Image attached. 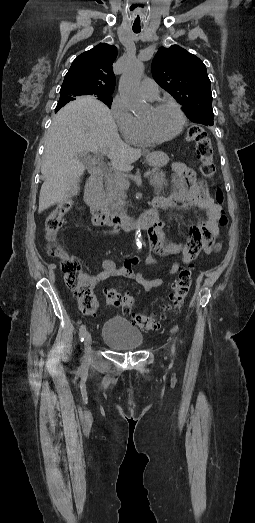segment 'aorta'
Returning a JSON list of instances; mask_svg holds the SVG:
<instances>
[{
	"label": "aorta",
	"mask_w": 255,
	"mask_h": 523,
	"mask_svg": "<svg viewBox=\"0 0 255 523\" xmlns=\"http://www.w3.org/2000/svg\"><path fill=\"white\" fill-rule=\"evenodd\" d=\"M144 72V65L140 61L131 62L119 82V93L126 107L135 114L142 113L146 104L140 93L139 84ZM135 242L138 250L142 247L141 232L138 230L135 235Z\"/></svg>",
	"instance_id": "aorta-1"
}]
</instances>
